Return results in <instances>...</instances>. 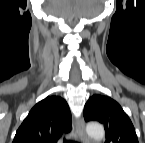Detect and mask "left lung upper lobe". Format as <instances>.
I'll use <instances>...</instances> for the list:
<instances>
[{
	"label": "left lung upper lobe",
	"instance_id": "left-lung-upper-lobe-1",
	"mask_svg": "<svg viewBox=\"0 0 145 143\" xmlns=\"http://www.w3.org/2000/svg\"><path fill=\"white\" fill-rule=\"evenodd\" d=\"M84 118L104 124L105 143H139L131 120L110 97L93 95L84 107Z\"/></svg>",
	"mask_w": 145,
	"mask_h": 143
}]
</instances>
